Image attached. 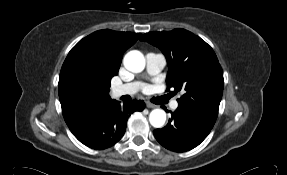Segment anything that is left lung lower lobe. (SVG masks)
I'll list each match as a JSON object with an SVG mask.
<instances>
[{"instance_id":"left-lung-lower-lobe-1","label":"left lung lower lobe","mask_w":287,"mask_h":175,"mask_svg":"<svg viewBox=\"0 0 287 175\" xmlns=\"http://www.w3.org/2000/svg\"><path fill=\"white\" fill-rule=\"evenodd\" d=\"M171 115L164 128L153 132L156 140L171 151L185 152L195 148L212 129L187 110L177 108Z\"/></svg>"}]
</instances>
